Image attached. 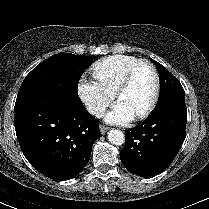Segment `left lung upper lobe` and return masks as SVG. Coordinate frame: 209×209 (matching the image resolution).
I'll return each mask as SVG.
<instances>
[{
    "mask_svg": "<svg viewBox=\"0 0 209 209\" xmlns=\"http://www.w3.org/2000/svg\"><path fill=\"white\" fill-rule=\"evenodd\" d=\"M160 77V94L158 102L171 96L185 95V91L181 83L160 63L152 60Z\"/></svg>",
    "mask_w": 209,
    "mask_h": 209,
    "instance_id": "obj_1",
    "label": "left lung upper lobe"
}]
</instances>
